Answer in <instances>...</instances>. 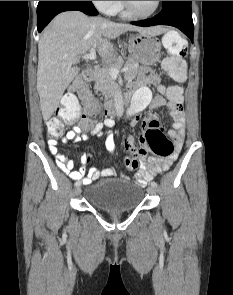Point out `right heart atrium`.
<instances>
[{
	"instance_id": "obj_1",
	"label": "right heart atrium",
	"mask_w": 233,
	"mask_h": 295,
	"mask_svg": "<svg viewBox=\"0 0 233 295\" xmlns=\"http://www.w3.org/2000/svg\"><path fill=\"white\" fill-rule=\"evenodd\" d=\"M93 5L105 14H111L116 6L117 1H91Z\"/></svg>"
}]
</instances>
